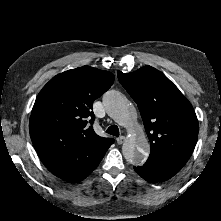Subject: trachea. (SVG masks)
<instances>
[{
    "label": "trachea",
    "instance_id": "1",
    "mask_svg": "<svg viewBox=\"0 0 221 221\" xmlns=\"http://www.w3.org/2000/svg\"><path fill=\"white\" fill-rule=\"evenodd\" d=\"M106 132L110 135H113V136H116L118 137L119 136V129L116 125H111L107 130Z\"/></svg>",
    "mask_w": 221,
    "mask_h": 221
}]
</instances>
